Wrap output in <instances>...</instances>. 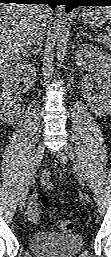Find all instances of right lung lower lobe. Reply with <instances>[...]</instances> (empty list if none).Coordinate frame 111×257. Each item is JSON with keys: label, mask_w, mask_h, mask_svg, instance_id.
<instances>
[{"label": "right lung lower lobe", "mask_w": 111, "mask_h": 257, "mask_svg": "<svg viewBox=\"0 0 111 257\" xmlns=\"http://www.w3.org/2000/svg\"><path fill=\"white\" fill-rule=\"evenodd\" d=\"M0 3H18V4H47L55 8L54 0H0Z\"/></svg>", "instance_id": "1"}]
</instances>
